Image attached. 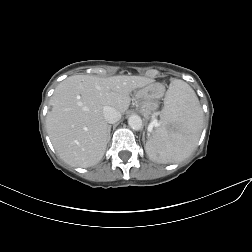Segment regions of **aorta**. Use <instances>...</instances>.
Returning a JSON list of instances; mask_svg holds the SVG:
<instances>
[{
	"label": "aorta",
	"instance_id": "aorta-1",
	"mask_svg": "<svg viewBox=\"0 0 252 252\" xmlns=\"http://www.w3.org/2000/svg\"><path fill=\"white\" fill-rule=\"evenodd\" d=\"M128 125L133 129V130H140L142 128V120L140 116L138 115H131L128 119Z\"/></svg>",
	"mask_w": 252,
	"mask_h": 252
}]
</instances>
